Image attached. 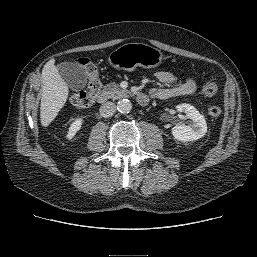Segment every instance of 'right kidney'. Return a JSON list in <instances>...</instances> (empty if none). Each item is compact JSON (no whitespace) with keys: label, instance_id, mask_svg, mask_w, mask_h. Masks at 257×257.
<instances>
[{"label":"right kidney","instance_id":"1","mask_svg":"<svg viewBox=\"0 0 257 257\" xmlns=\"http://www.w3.org/2000/svg\"><path fill=\"white\" fill-rule=\"evenodd\" d=\"M82 123V118L76 119L68 129L67 138L72 139L76 135V133L81 129Z\"/></svg>","mask_w":257,"mask_h":257}]
</instances>
